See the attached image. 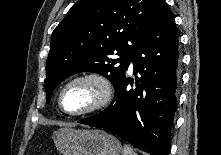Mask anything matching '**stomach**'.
Wrapping results in <instances>:
<instances>
[{"instance_id":"1","label":"stomach","mask_w":221,"mask_h":155,"mask_svg":"<svg viewBox=\"0 0 221 155\" xmlns=\"http://www.w3.org/2000/svg\"><path fill=\"white\" fill-rule=\"evenodd\" d=\"M54 144L62 155H120V142L99 129L65 127L54 133Z\"/></svg>"}]
</instances>
